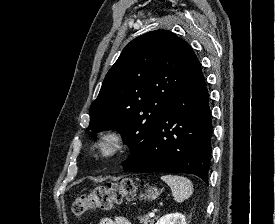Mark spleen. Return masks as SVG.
I'll return each mask as SVG.
<instances>
[{
	"label": "spleen",
	"instance_id": "1",
	"mask_svg": "<svg viewBox=\"0 0 275 224\" xmlns=\"http://www.w3.org/2000/svg\"><path fill=\"white\" fill-rule=\"evenodd\" d=\"M161 179L169 185L174 200L179 203L188 199L193 193L192 182L186 177L169 174L163 175Z\"/></svg>",
	"mask_w": 275,
	"mask_h": 224
}]
</instances>
